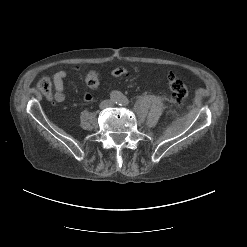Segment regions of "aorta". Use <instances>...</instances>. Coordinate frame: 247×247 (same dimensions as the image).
<instances>
[{"label":"aorta","instance_id":"obj_1","mask_svg":"<svg viewBox=\"0 0 247 247\" xmlns=\"http://www.w3.org/2000/svg\"><path fill=\"white\" fill-rule=\"evenodd\" d=\"M111 96H112V98H113L115 101H117V102H119L120 99H121V97H122V95H121L120 92H113Z\"/></svg>","mask_w":247,"mask_h":247}]
</instances>
